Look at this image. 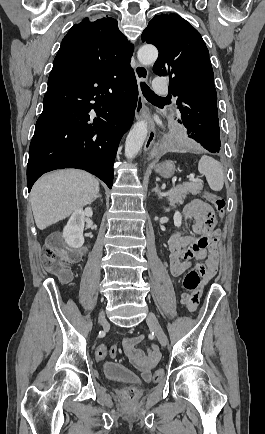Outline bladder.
<instances>
[{
    "label": "bladder",
    "mask_w": 265,
    "mask_h": 434,
    "mask_svg": "<svg viewBox=\"0 0 265 434\" xmlns=\"http://www.w3.org/2000/svg\"><path fill=\"white\" fill-rule=\"evenodd\" d=\"M104 375L115 381L137 382L136 376L121 364L115 362H106L102 365Z\"/></svg>",
    "instance_id": "obj_1"
}]
</instances>
